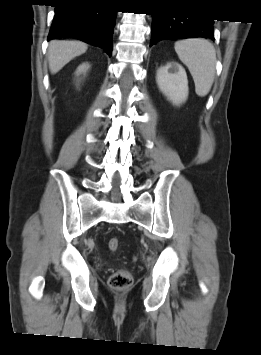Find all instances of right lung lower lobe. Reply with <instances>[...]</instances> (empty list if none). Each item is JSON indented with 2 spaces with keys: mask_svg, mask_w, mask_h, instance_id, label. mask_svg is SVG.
I'll return each instance as SVG.
<instances>
[{
  "mask_svg": "<svg viewBox=\"0 0 261 355\" xmlns=\"http://www.w3.org/2000/svg\"><path fill=\"white\" fill-rule=\"evenodd\" d=\"M48 40L76 38L111 56L116 12L103 0H58Z\"/></svg>",
  "mask_w": 261,
  "mask_h": 355,
  "instance_id": "obj_1",
  "label": "right lung lower lobe"
}]
</instances>
